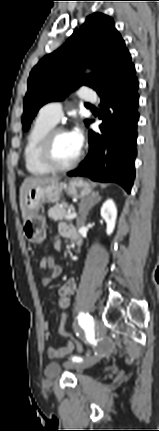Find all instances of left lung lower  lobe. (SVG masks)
Wrapping results in <instances>:
<instances>
[{"label": "left lung lower lobe", "mask_w": 159, "mask_h": 431, "mask_svg": "<svg viewBox=\"0 0 159 431\" xmlns=\"http://www.w3.org/2000/svg\"><path fill=\"white\" fill-rule=\"evenodd\" d=\"M100 131L89 132L90 151L80 166L68 176H86L94 181L115 182L130 193L137 154L139 119L138 80L131 63L100 91Z\"/></svg>", "instance_id": "left-lung-lower-lobe-1"}]
</instances>
